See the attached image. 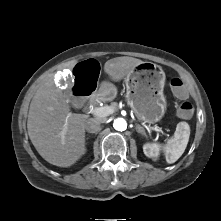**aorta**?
Here are the masks:
<instances>
[{
  "instance_id": "obj_1",
  "label": "aorta",
  "mask_w": 221,
  "mask_h": 221,
  "mask_svg": "<svg viewBox=\"0 0 221 221\" xmlns=\"http://www.w3.org/2000/svg\"><path fill=\"white\" fill-rule=\"evenodd\" d=\"M113 127L118 131H124L127 129L126 120L123 118H117L114 120Z\"/></svg>"
}]
</instances>
